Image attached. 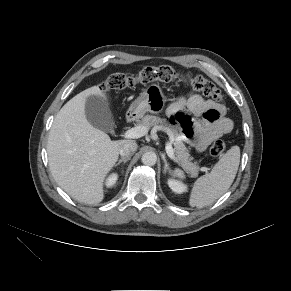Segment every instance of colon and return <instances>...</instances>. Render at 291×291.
I'll return each instance as SVG.
<instances>
[{
    "instance_id": "colon-1",
    "label": "colon",
    "mask_w": 291,
    "mask_h": 291,
    "mask_svg": "<svg viewBox=\"0 0 291 291\" xmlns=\"http://www.w3.org/2000/svg\"><path fill=\"white\" fill-rule=\"evenodd\" d=\"M154 82H186L194 90L201 92L203 95L212 98L218 103L224 100L222 92L214 83L202 76L192 75L170 66H147L135 74L116 72L106 77L101 82L100 87L104 91L111 89L122 90ZM225 149V143L217 140L211 145L210 154L218 157L225 152Z\"/></svg>"
}]
</instances>
